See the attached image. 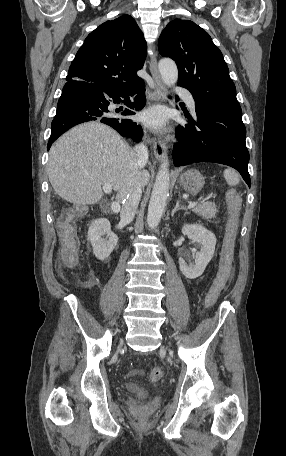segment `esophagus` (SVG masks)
<instances>
[{"mask_svg":"<svg viewBox=\"0 0 286 456\" xmlns=\"http://www.w3.org/2000/svg\"><path fill=\"white\" fill-rule=\"evenodd\" d=\"M150 72L153 78V86L154 92L152 96V100L155 102L164 101L165 94H164V87L162 83V79L160 77L158 67H157V58L156 53L151 55L150 57ZM152 147L156 158L160 161L167 159V148L166 146L159 140L152 138L151 139Z\"/></svg>","mask_w":286,"mask_h":456,"instance_id":"34e87169","label":"esophagus"}]
</instances>
